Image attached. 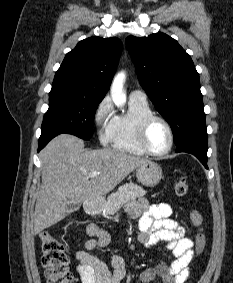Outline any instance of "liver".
Masks as SVG:
<instances>
[{"instance_id":"liver-1","label":"liver","mask_w":233,"mask_h":283,"mask_svg":"<svg viewBox=\"0 0 233 283\" xmlns=\"http://www.w3.org/2000/svg\"><path fill=\"white\" fill-rule=\"evenodd\" d=\"M42 184L34 212V234L63 220L70 206L99 199L133 170L149 162L112 149H84L80 138L61 134L40 152ZM99 172L90 177L91 172Z\"/></svg>"}]
</instances>
